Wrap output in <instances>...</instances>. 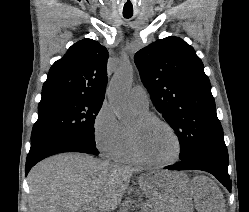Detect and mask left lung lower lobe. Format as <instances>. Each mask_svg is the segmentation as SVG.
I'll list each match as a JSON object with an SVG mask.
<instances>
[{"mask_svg":"<svg viewBox=\"0 0 249 212\" xmlns=\"http://www.w3.org/2000/svg\"><path fill=\"white\" fill-rule=\"evenodd\" d=\"M168 170H202L213 174L230 192L228 151L224 139L204 143L180 163L166 166Z\"/></svg>","mask_w":249,"mask_h":212,"instance_id":"0a47b994","label":"left lung lower lobe"}]
</instances>
